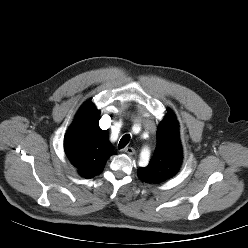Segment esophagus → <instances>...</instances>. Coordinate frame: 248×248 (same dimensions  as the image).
I'll list each match as a JSON object with an SVG mask.
<instances>
[{
	"label": "esophagus",
	"instance_id": "obj_1",
	"mask_svg": "<svg viewBox=\"0 0 248 248\" xmlns=\"http://www.w3.org/2000/svg\"><path fill=\"white\" fill-rule=\"evenodd\" d=\"M123 151L125 153H127L128 155H133L135 153V150L132 147H126V148L123 149Z\"/></svg>",
	"mask_w": 248,
	"mask_h": 248
}]
</instances>
